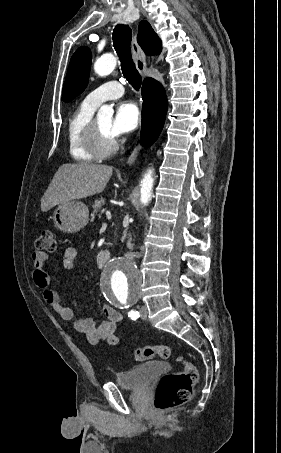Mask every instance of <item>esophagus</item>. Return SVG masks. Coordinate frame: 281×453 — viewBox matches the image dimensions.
<instances>
[{"label": "esophagus", "instance_id": "obj_1", "mask_svg": "<svg viewBox=\"0 0 281 453\" xmlns=\"http://www.w3.org/2000/svg\"><path fill=\"white\" fill-rule=\"evenodd\" d=\"M131 49L133 52V57L135 60L136 68L139 71V73L144 77L145 76V68H146V61L143 55V52L140 48V46L137 43V38L136 35L133 36L132 43H131ZM141 150V145L138 143V145L135 146L133 151L131 152V155L128 158V165H132V163L135 162L138 153Z\"/></svg>", "mask_w": 281, "mask_h": 453}]
</instances>
